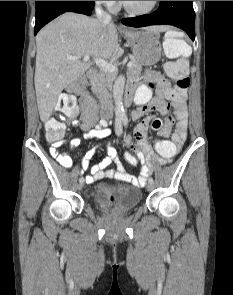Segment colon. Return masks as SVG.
I'll use <instances>...</instances> for the list:
<instances>
[{
  "label": "colon",
  "mask_w": 233,
  "mask_h": 295,
  "mask_svg": "<svg viewBox=\"0 0 233 295\" xmlns=\"http://www.w3.org/2000/svg\"><path fill=\"white\" fill-rule=\"evenodd\" d=\"M163 49L168 61L165 65V71L169 77L175 81L171 87L174 95L183 94L190 85L188 75V59L191 54V45L186 37L176 31L168 32L163 40ZM86 80L79 78L68 87V92L60 96L55 107L53 115L45 122V132L47 140L52 143H58L66 130V125L62 117H71L76 113L72 94H82L85 91ZM162 137H167L168 132L160 133ZM157 152L161 157H172L176 148L169 140H162L156 144ZM124 161L130 167L136 166L137 158L130 152L124 153Z\"/></svg>",
  "instance_id": "obj_1"
}]
</instances>
